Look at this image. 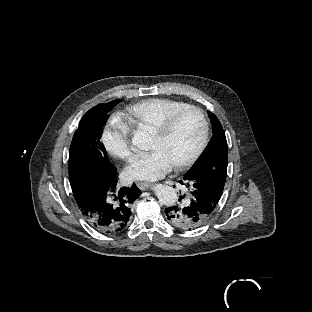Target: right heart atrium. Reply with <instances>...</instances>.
<instances>
[{
    "instance_id": "right-heart-atrium-1",
    "label": "right heart atrium",
    "mask_w": 312,
    "mask_h": 312,
    "mask_svg": "<svg viewBox=\"0 0 312 312\" xmlns=\"http://www.w3.org/2000/svg\"><path fill=\"white\" fill-rule=\"evenodd\" d=\"M103 128L105 130L103 139L109 144L105 149V154L109 159L125 163L135 156V141L123 121L109 117L104 121Z\"/></svg>"
}]
</instances>
